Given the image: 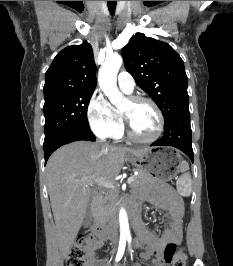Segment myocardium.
<instances>
[{"label": "myocardium", "instance_id": "obj_1", "mask_svg": "<svg viewBox=\"0 0 233 266\" xmlns=\"http://www.w3.org/2000/svg\"><path fill=\"white\" fill-rule=\"evenodd\" d=\"M128 101L131 104H139V103L150 104L154 108V110L157 114V117H158V127L156 130V133L149 138H142V137L137 136L134 133L128 116L126 115V113L121 111V115H122V118L124 120L125 130H126V134H127L128 138L134 142H137V143H153V142L157 141L161 137V135L164 131V126H165L164 115H163L162 110L158 106V104L154 100H152L148 97H143V96H132V97L128 98Z\"/></svg>", "mask_w": 233, "mask_h": 266}]
</instances>
